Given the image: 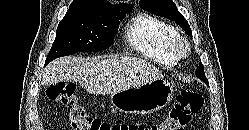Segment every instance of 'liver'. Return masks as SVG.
<instances>
[{
    "label": "liver",
    "mask_w": 249,
    "mask_h": 130,
    "mask_svg": "<svg viewBox=\"0 0 249 130\" xmlns=\"http://www.w3.org/2000/svg\"><path fill=\"white\" fill-rule=\"evenodd\" d=\"M163 78L151 63L136 57H64L51 62L42 76L43 85L79 82L90 94H113Z\"/></svg>",
    "instance_id": "6515ba94"
}]
</instances>
